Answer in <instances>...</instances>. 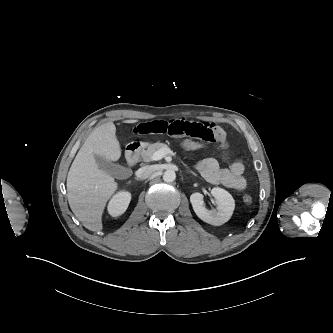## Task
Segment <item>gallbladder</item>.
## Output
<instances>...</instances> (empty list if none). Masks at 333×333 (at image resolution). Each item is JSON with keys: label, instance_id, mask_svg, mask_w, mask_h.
<instances>
[{"label": "gallbladder", "instance_id": "obj_1", "mask_svg": "<svg viewBox=\"0 0 333 333\" xmlns=\"http://www.w3.org/2000/svg\"><path fill=\"white\" fill-rule=\"evenodd\" d=\"M95 160L98 165V168L112 176L118 177L120 173L125 169V167L111 162L103 156L95 155Z\"/></svg>", "mask_w": 333, "mask_h": 333}]
</instances>
